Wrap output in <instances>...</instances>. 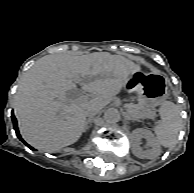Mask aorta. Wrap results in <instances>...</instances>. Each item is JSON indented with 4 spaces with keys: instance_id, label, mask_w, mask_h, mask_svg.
<instances>
[{
    "instance_id": "762f6f07",
    "label": "aorta",
    "mask_w": 194,
    "mask_h": 193,
    "mask_svg": "<svg viewBox=\"0 0 194 193\" xmlns=\"http://www.w3.org/2000/svg\"><path fill=\"white\" fill-rule=\"evenodd\" d=\"M120 113L117 109H109L104 114V119L108 124H115L120 121Z\"/></svg>"
}]
</instances>
